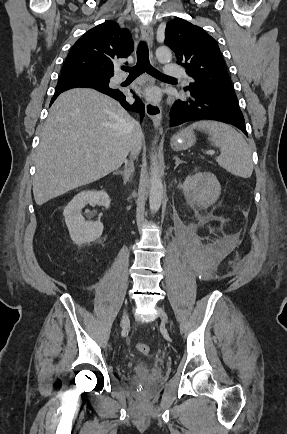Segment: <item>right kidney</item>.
I'll list each match as a JSON object with an SVG mask.
<instances>
[{
	"instance_id": "1",
	"label": "right kidney",
	"mask_w": 287,
	"mask_h": 434,
	"mask_svg": "<svg viewBox=\"0 0 287 434\" xmlns=\"http://www.w3.org/2000/svg\"><path fill=\"white\" fill-rule=\"evenodd\" d=\"M111 199L105 191H82L78 193L65 207L63 215L72 241L77 245L97 240L103 232L100 221L87 222L82 216V209L87 204H99L106 209L110 207Z\"/></svg>"
}]
</instances>
